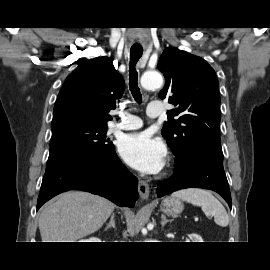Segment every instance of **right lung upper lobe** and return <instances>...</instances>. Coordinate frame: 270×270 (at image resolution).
<instances>
[{"instance_id": "cb5924a9", "label": "right lung upper lobe", "mask_w": 270, "mask_h": 270, "mask_svg": "<svg viewBox=\"0 0 270 270\" xmlns=\"http://www.w3.org/2000/svg\"><path fill=\"white\" fill-rule=\"evenodd\" d=\"M125 84L113 65V58L103 56L84 62L71 73L54 106L51 126L66 122L106 125L108 112L116 108Z\"/></svg>"}]
</instances>
